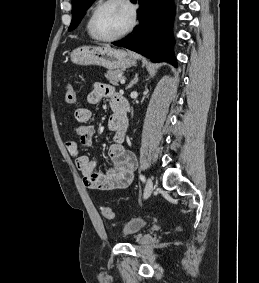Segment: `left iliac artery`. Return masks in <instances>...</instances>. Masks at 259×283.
Returning a JSON list of instances; mask_svg holds the SVG:
<instances>
[{"instance_id": "obj_1", "label": "left iliac artery", "mask_w": 259, "mask_h": 283, "mask_svg": "<svg viewBox=\"0 0 259 283\" xmlns=\"http://www.w3.org/2000/svg\"><path fill=\"white\" fill-rule=\"evenodd\" d=\"M139 178L141 179V181L145 182V177H144V175H140Z\"/></svg>"}]
</instances>
